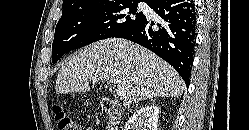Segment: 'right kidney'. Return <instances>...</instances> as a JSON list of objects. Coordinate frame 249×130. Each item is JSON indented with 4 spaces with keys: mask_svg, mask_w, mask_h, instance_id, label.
I'll list each match as a JSON object with an SVG mask.
<instances>
[{
    "mask_svg": "<svg viewBox=\"0 0 249 130\" xmlns=\"http://www.w3.org/2000/svg\"><path fill=\"white\" fill-rule=\"evenodd\" d=\"M159 107L150 105L141 107L128 119L124 130H157Z\"/></svg>",
    "mask_w": 249,
    "mask_h": 130,
    "instance_id": "1",
    "label": "right kidney"
}]
</instances>
